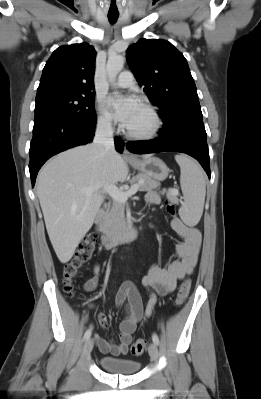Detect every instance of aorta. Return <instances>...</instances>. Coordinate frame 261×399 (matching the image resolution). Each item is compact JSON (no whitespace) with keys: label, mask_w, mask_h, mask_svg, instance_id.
I'll use <instances>...</instances> for the list:
<instances>
[{"label":"aorta","mask_w":261,"mask_h":399,"mask_svg":"<svg viewBox=\"0 0 261 399\" xmlns=\"http://www.w3.org/2000/svg\"><path fill=\"white\" fill-rule=\"evenodd\" d=\"M124 63L125 57L122 55L109 56L106 65V73L109 81L114 82L116 80L117 75L124 67Z\"/></svg>","instance_id":"aorta-1"}]
</instances>
